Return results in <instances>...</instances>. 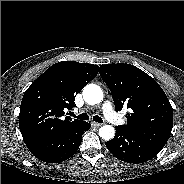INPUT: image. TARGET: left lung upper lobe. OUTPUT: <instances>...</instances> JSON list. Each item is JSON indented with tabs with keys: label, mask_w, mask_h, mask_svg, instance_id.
<instances>
[{
	"label": "left lung upper lobe",
	"mask_w": 184,
	"mask_h": 184,
	"mask_svg": "<svg viewBox=\"0 0 184 184\" xmlns=\"http://www.w3.org/2000/svg\"><path fill=\"white\" fill-rule=\"evenodd\" d=\"M100 76L109 87L115 110L128 108L127 124L121 127L162 149L173 127V109L160 85L131 64L100 66Z\"/></svg>",
	"instance_id": "obj_1"
}]
</instances>
